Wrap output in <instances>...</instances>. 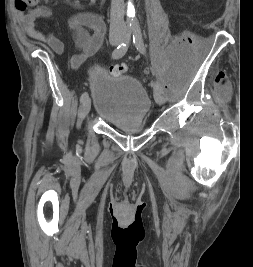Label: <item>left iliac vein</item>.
Returning a JSON list of instances; mask_svg holds the SVG:
<instances>
[{"label":"left iliac vein","instance_id":"4c4485c4","mask_svg":"<svg viewBox=\"0 0 253 267\" xmlns=\"http://www.w3.org/2000/svg\"><path fill=\"white\" fill-rule=\"evenodd\" d=\"M124 40H130L129 37H124ZM154 99L156 101L157 104L161 105L165 102V98L162 94V92L158 91V90H154Z\"/></svg>","mask_w":253,"mask_h":267}]
</instances>
